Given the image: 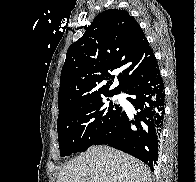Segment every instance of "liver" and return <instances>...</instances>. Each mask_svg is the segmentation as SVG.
Segmentation results:
<instances>
[{
    "label": "liver",
    "instance_id": "liver-1",
    "mask_svg": "<svg viewBox=\"0 0 196 182\" xmlns=\"http://www.w3.org/2000/svg\"><path fill=\"white\" fill-rule=\"evenodd\" d=\"M57 182H151L147 165L108 146H92L60 171Z\"/></svg>",
    "mask_w": 196,
    "mask_h": 182
}]
</instances>
